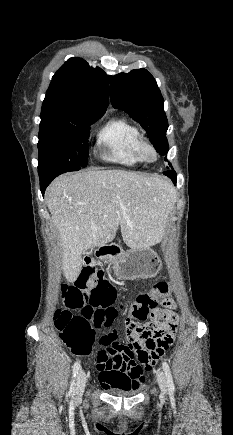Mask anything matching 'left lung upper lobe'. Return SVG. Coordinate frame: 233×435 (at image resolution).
<instances>
[{"label": "left lung upper lobe", "instance_id": "5c2ea615", "mask_svg": "<svg viewBox=\"0 0 233 435\" xmlns=\"http://www.w3.org/2000/svg\"><path fill=\"white\" fill-rule=\"evenodd\" d=\"M108 80L113 107L126 111L145 129L156 151L167 154L168 122L164 100L154 77L141 68L108 76ZM169 166L172 167L170 163Z\"/></svg>", "mask_w": 233, "mask_h": 435}]
</instances>
